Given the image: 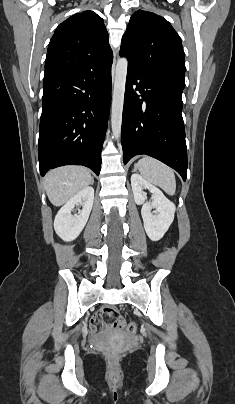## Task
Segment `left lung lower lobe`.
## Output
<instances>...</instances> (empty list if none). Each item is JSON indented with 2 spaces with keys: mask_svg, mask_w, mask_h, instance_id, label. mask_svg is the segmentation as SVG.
Wrapping results in <instances>:
<instances>
[{
  "mask_svg": "<svg viewBox=\"0 0 235 404\" xmlns=\"http://www.w3.org/2000/svg\"><path fill=\"white\" fill-rule=\"evenodd\" d=\"M182 91L179 86L128 66L122 116L124 164L135 155L146 154L172 167L186 180Z\"/></svg>",
  "mask_w": 235,
  "mask_h": 404,
  "instance_id": "left-lung-lower-lobe-1",
  "label": "left lung lower lobe"
}]
</instances>
